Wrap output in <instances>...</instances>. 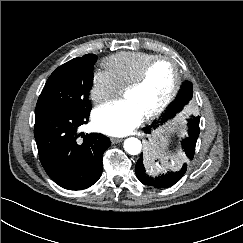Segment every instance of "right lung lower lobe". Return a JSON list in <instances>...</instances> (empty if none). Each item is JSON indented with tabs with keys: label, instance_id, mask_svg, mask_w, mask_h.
Here are the masks:
<instances>
[{
	"label": "right lung lower lobe",
	"instance_id": "98d812e1",
	"mask_svg": "<svg viewBox=\"0 0 243 243\" xmlns=\"http://www.w3.org/2000/svg\"><path fill=\"white\" fill-rule=\"evenodd\" d=\"M90 112L38 108L35 111L34 135L42 166L58 185L69 190L93 185L103 170L102 157L110 146L102 134H87L83 142L77 129L86 124Z\"/></svg>",
	"mask_w": 243,
	"mask_h": 243
}]
</instances>
